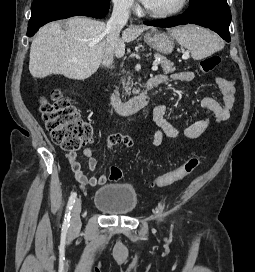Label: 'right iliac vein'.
<instances>
[{"label": "right iliac vein", "mask_w": 255, "mask_h": 272, "mask_svg": "<svg viewBox=\"0 0 255 272\" xmlns=\"http://www.w3.org/2000/svg\"><path fill=\"white\" fill-rule=\"evenodd\" d=\"M80 213H81V200L79 199L72 209L70 224L71 233H76L80 230L81 227Z\"/></svg>", "instance_id": "1"}]
</instances>
